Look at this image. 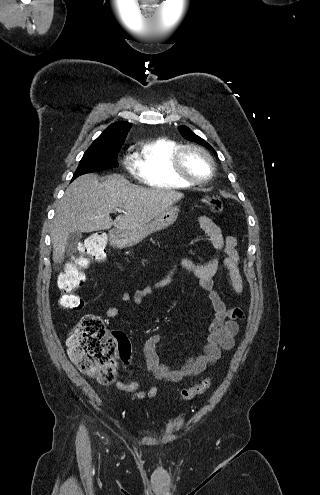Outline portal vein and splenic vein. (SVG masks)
Here are the masks:
<instances>
[{
  "instance_id": "18ae733b",
  "label": "portal vein and splenic vein",
  "mask_w": 320,
  "mask_h": 495,
  "mask_svg": "<svg viewBox=\"0 0 320 495\" xmlns=\"http://www.w3.org/2000/svg\"><path fill=\"white\" fill-rule=\"evenodd\" d=\"M115 210H116V211H119V212H123V210H122V209H119V208H117V209H115Z\"/></svg>"
}]
</instances>
